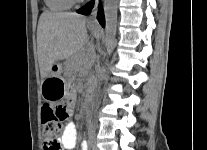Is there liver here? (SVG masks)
I'll return each mask as SVG.
<instances>
[{"mask_svg": "<svg viewBox=\"0 0 207 150\" xmlns=\"http://www.w3.org/2000/svg\"><path fill=\"white\" fill-rule=\"evenodd\" d=\"M86 18L75 13L44 12L37 29V49L42 80L53 64L83 51L88 43Z\"/></svg>", "mask_w": 207, "mask_h": 150, "instance_id": "liver-1", "label": "liver"}]
</instances>
